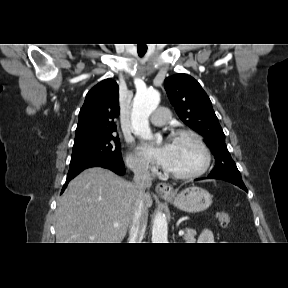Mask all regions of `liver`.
<instances>
[{
  "mask_svg": "<svg viewBox=\"0 0 288 288\" xmlns=\"http://www.w3.org/2000/svg\"><path fill=\"white\" fill-rule=\"evenodd\" d=\"M134 202V183L101 167L84 170L58 200L57 243H121L131 223ZM144 202L147 209L152 206L149 193H145Z\"/></svg>",
  "mask_w": 288,
  "mask_h": 288,
  "instance_id": "6515ba94",
  "label": "liver"
}]
</instances>
